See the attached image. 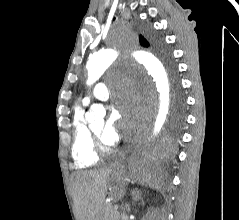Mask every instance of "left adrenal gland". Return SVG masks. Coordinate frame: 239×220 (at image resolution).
<instances>
[{"instance_id":"a2214340","label":"left adrenal gland","mask_w":239,"mask_h":220,"mask_svg":"<svg viewBox=\"0 0 239 220\" xmlns=\"http://www.w3.org/2000/svg\"><path fill=\"white\" fill-rule=\"evenodd\" d=\"M124 211L130 212V204H125Z\"/></svg>"}]
</instances>
